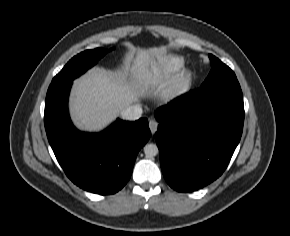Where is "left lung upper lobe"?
Segmentation results:
<instances>
[{"label":"left lung upper lobe","instance_id":"left-lung-upper-lobe-1","mask_svg":"<svg viewBox=\"0 0 290 236\" xmlns=\"http://www.w3.org/2000/svg\"><path fill=\"white\" fill-rule=\"evenodd\" d=\"M209 58L211 60L212 69L201 87L236 79L235 73L218 58L212 54H209Z\"/></svg>","mask_w":290,"mask_h":236}]
</instances>
